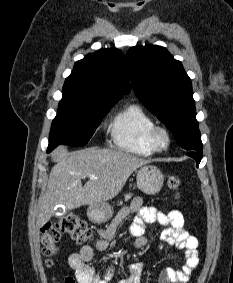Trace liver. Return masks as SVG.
<instances>
[{"mask_svg": "<svg viewBox=\"0 0 233 283\" xmlns=\"http://www.w3.org/2000/svg\"><path fill=\"white\" fill-rule=\"evenodd\" d=\"M51 157L57 164L51 169L47 188L38 201L37 228L51 219L57 204L72 210L111 200L137 168L150 163L122 150L89 148L69 153L65 146L56 148ZM91 174L97 179L82 186L81 179Z\"/></svg>", "mask_w": 233, "mask_h": 283, "instance_id": "1", "label": "liver"}]
</instances>
